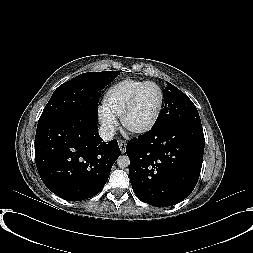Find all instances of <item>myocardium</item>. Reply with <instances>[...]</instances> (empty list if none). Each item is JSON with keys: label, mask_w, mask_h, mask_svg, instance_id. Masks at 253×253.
I'll list each match as a JSON object with an SVG mask.
<instances>
[{"label": "myocardium", "mask_w": 253, "mask_h": 253, "mask_svg": "<svg viewBox=\"0 0 253 253\" xmlns=\"http://www.w3.org/2000/svg\"><path fill=\"white\" fill-rule=\"evenodd\" d=\"M149 85L155 86L160 93V102H159L158 108H157L152 120L147 125L140 127V128H133L128 125V121H127L128 116H129L130 112L132 111V109L134 108L140 92L146 86H149ZM164 103H165V94H164V91L161 88V86L154 81L143 82L133 91V93L131 94L129 100L127 101V103L121 113V123H122L123 127L127 131H129L130 133L137 134V135L145 134V133L151 131L155 127V125L157 124V122L160 118V115H161L163 107H164Z\"/></svg>", "instance_id": "obj_1"}]
</instances>
